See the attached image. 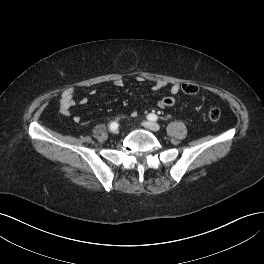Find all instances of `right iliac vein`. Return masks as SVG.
<instances>
[{"instance_id": "right-iliac-vein-1", "label": "right iliac vein", "mask_w": 264, "mask_h": 264, "mask_svg": "<svg viewBox=\"0 0 264 264\" xmlns=\"http://www.w3.org/2000/svg\"><path fill=\"white\" fill-rule=\"evenodd\" d=\"M111 132H112L113 134H117L119 131H118V129H113V130H111Z\"/></svg>"}]
</instances>
